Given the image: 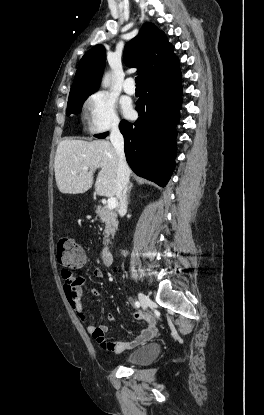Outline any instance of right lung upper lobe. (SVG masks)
I'll list each match as a JSON object with an SVG mask.
<instances>
[{
  "label": "right lung upper lobe",
  "instance_id": "right-lung-upper-lobe-1",
  "mask_svg": "<svg viewBox=\"0 0 264 415\" xmlns=\"http://www.w3.org/2000/svg\"><path fill=\"white\" fill-rule=\"evenodd\" d=\"M173 49L164 32L146 22L139 34L126 45L124 59L126 65L138 68L143 84L180 70ZM105 61L104 46L99 44L90 49L79 63L69 97L94 93L99 88Z\"/></svg>",
  "mask_w": 264,
  "mask_h": 415
}]
</instances>
